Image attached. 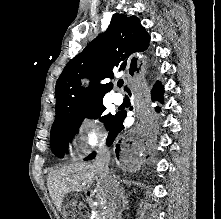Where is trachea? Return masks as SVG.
Returning a JSON list of instances; mask_svg holds the SVG:
<instances>
[{
  "mask_svg": "<svg viewBox=\"0 0 221 219\" xmlns=\"http://www.w3.org/2000/svg\"><path fill=\"white\" fill-rule=\"evenodd\" d=\"M123 83H124L123 80H119L117 83L118 87H122Z\"/></svg>",
  "mask_w": 221,
  "mask_h": 219,
  "instance_id": "1",
  "label": "trachea"
}]
</instances>
